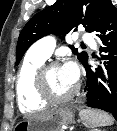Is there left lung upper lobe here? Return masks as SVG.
<instances>
[{"label":"left lung upper lobe","mask_w":117,"mask_h":131,"mask_svg":"<svg viewBox=\"0 0 117 131\" xmlns=\"http://www.w3.org/2000/svg\"><path fill=\"white\" fill-rule=\"evenodd\" d=\"M109 2L110 0H57L52 6L37 13L20 33L16 49V65L27 49L45 35L54 33L63 39V35L79 24H82L87 32H95ZM69 47L82 64L87 61V53H78L73 45Z\"/></svg>","instance_id":"obj_1"}]
</instances>
